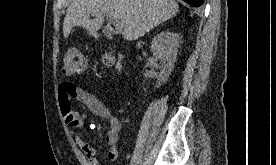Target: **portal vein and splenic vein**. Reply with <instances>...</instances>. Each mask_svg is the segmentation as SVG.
Segmentation results:
<instances>
[{"label": "portal vein and splenic vein", "mask_w": 276, "mask_h": 165, "mask_svg": "<svg viewBox=\"0 0 276 165\" xmlns=\"http://www.w3.org/2000/svg\"><path fill=\"white\" fill-rule=\"evenodd\" d=\"M108 21H109V23H112L113 26L116 27L117 29L122 28V23L119 20L115 19L113 21L111 18H109Z\"/></svg>", "instance_id": "1"}]
</instances>
